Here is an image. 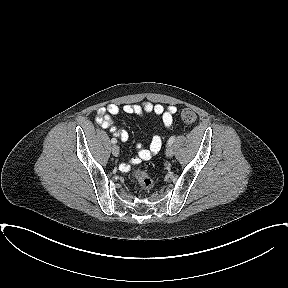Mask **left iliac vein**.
<instances>
[{
    "instance_id": "1",
    "label": "left iliac vein",
    "mask_w": 288,
    "mask_h": 288,
    "mask_svg": "<svg viewBox=\"0 0 288 288\" xmlns=\"http://www.w3.org/2000/svg\"><path fill=\"white\" fill-rule=\"evenodd\" d=\"M174 154V149L172 145H169L166 149V156L171 158Z\"/></svg>"
}]
</instances>
